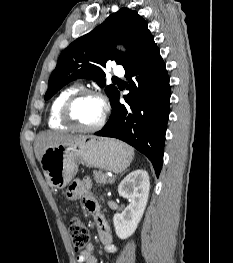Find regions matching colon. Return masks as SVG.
<instances>
[{"mask_svg": "<svg viewBox=\"0 0 233 263\" xmlns=\"http://www.w3.org/2000/svg\"><path fill=\"white\" fill-rule=\"evenodd\" d=\"M68 231L74 250L76 252L85 250L89 244V234L86 225L81 220L73 218L69 221Z\"/></svg>", "mask_w": 233, "mask_h": 263, "instance_id": "colon-1", "label": "colon"}]
</instances>
